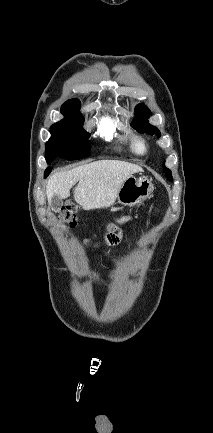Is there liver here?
Masks as SVG:
<instances>
[{
    "mask_svg": "<svg viewBox=\"0 0 213 433\" xmlns=\"http://www.w3.org/2000/svg\"><path fill=\"white\" fill-rule=\"evenodd\" d=\"M142 168L119 160H101L76 167L69 171L54 173L47 181L48 203L54 195L60 199L70 196L74 190L75 201L86 210L99 209L114 202L123 182Z\"/></svg>",
    "mask_w": 213,
    "mask_h": 433,
    "instance_id": "liver-1",
    "label": "liver"
}]
</instances>
